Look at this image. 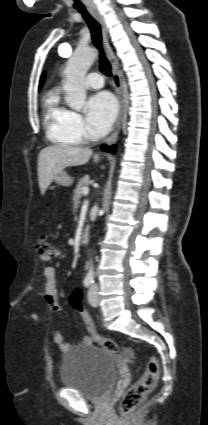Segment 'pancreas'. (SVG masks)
I'll return each mask as SVG.
<instances>
[{
  "label": "pancreas",
  "mask_w": 208,
  "mask_h": 425,
  "mask_svg": "<svg viewBox=\"0 0 208 425\" xmlns=\"http://www.w3.org/2000/svg\"><path fill=\"white\" fill-rule=\"evenodd\" d=\"M88 180H89V177L84 176L83 178L80 179V181L77 184V187L75 189L74 196H73V202H74L75 209L77 208L79 201H80V198L82 197L83 188L88 186Z\"/></svg>",
  "instance_id": "pancreas-1"
}]
</instances>
